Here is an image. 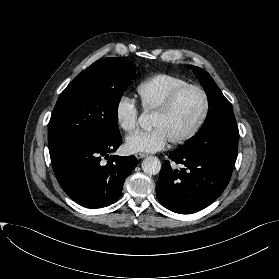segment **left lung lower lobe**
I'll return each instance as SVG.
<instances>
[{
	"mask_svg": "<svg viewBox=\"0 0 279 279\" xmlns=\"http://www.w3.org/2000/svg\"><path fill=\"white\" fill-rule=\"evenodd\" d=\"M169 158L184 165L163 164L156 185L159 202L179 214L197 212L216 200L230 181L233 164L213 156L189 157L174 151Z\"/></svg>",
	"mask_w": 279,
	"mask_h": 279,
	"instance_id": "1",
	"label": "left lung lower lobe"
}]
</instances>
